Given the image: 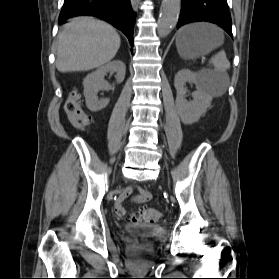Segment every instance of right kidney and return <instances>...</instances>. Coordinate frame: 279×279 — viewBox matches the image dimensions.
Instances as JSON below:
<instances>
[{
	"label": "right kidney",
	"instance_id": "right-kidney-1",
	"mask_svg": "<svg viewBox=\"0 0 279 279\" xmlns=\"http://www.w3.org/2000/svg\"><path fill=\"white\" fill-rule=\"evenodd\" d=\"M108 72H116V81L117 83H121L125 78L126 66L121 60L111 61L88 74L83 81L86 105L92 112L104 109L110 101L109 99L99 100L97 97L98 91L112 89L104 80Z\"/></svg>",
	"mask_w": 279,
	"mask_h": 279
}]
</instances>
